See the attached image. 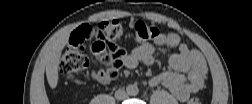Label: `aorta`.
<instances>
[{"label": "aorta", "mask_w": 252, "mask_h": 104, "mask_svg": "<svg viewBox=\"0 0 252 104\" xmlns=\"http://www.w3.org/2000/svg\"><path fill=\"white\" fill-rule=\"evenodd\" d=\"M127 94L130 96H135L138 94L139 89L136 85H128L126 88Z\"/></svg>", "instance_id": "1"}]
</instances>
